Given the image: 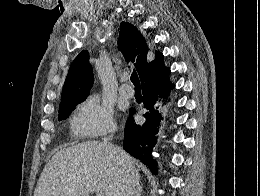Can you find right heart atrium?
<instances>
[{
    "label": "right heart atrium",
    "instance_id": "obj_1",
    "mask_svg": "<svg viewBox=\"0 0 260 196\" xmlns=\"http://www.w3.org/2000/svg\"><path fill=\"white\" fill-rule=\"evenodd\" d=\"M114 128L113 110L97 93H92L81 101L71 119V130L80 138L79 143H107L97 137Z\"/></svg>",
    "mask_w": 260,
    "mask_h": 196
}]
</instances>
